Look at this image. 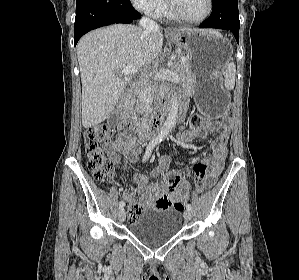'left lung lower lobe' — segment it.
Returning a JSON list of instances; mask_svg holds the SVG:
<instances>
[{"label": "left lung lower lobe", "mask_w": 299, "mask_h": 280, "mask_svg": "<svg viewBox=\"0 0 299 280\" xmlns=\"http://www.w3.org/2000/svg\"><path fill=\"white\" fill-rule=\"evenodd\" d=\"M239 11L237 0H213V10L199 28H219L230 30L237 43L239 35Z\"/></svg>", "instance_id": "1"}]
</instances>
